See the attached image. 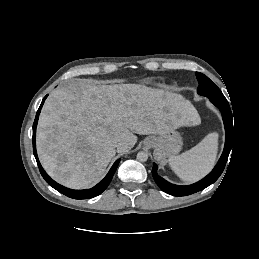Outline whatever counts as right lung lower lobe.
<instances>
[{"mask_svg":"<svg viewBox=\"0 0 259 259\" xmlns=\"http://www.w3.org/2000/svg\"><path fill=\"white\" fill-rule=\"evenodd\" d=\"M47 96H45V98L43 99L38 111H37V114H36V117H35V121H34V124H33V152H34V156L36 158V161H37V164H38V167H39V170H40V173L41 175L43 176V178L45 179V181L50 185L52 186L54 189H56L57 191H59L60 193L70 197V198H73V199H89V198H93L99 194H101L106 188L107 186L109 185L117 167H118V164L120 162V159L117 160L113 166L111 167L110 171L108 172V174L106 175V177L100 182L98 183L96 186H94L93 188L91 189H87V190H72V189H68L58 183H56L54 180H52L47 174L46 172L44 171V169L42 168L39 160H38V156H37V152H36V127H37V122H38V118H39V114H40V111H41V108L43 106V103L45 101Z\"/></svg>","mask_w":259,"mask_h":259,"instance_id":"obj_1","label":"right lung lower lobe"}]
</instances>
